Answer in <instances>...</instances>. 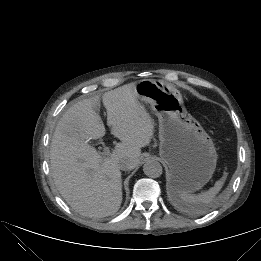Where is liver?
Segmentation results:
<instances>
[{
	"mask_svg": "<svg viewBox=\"0 0 261 261\" xmlns=\"http://www.w3.org/2000/svg\"><path fill=\"white\" fill-rule=\"evenodd\" d=\"M135 85H123L102 96L111 133L121 141L109 157L102 158L88 143L105 135V126L96 112L98 96L71 106L56 126L50 148L51 174L59 193L81 215L100 218L119 210V162L128 160L135 168L141 148L153 137L154 120L139 102Z\"/></svg>",
	"mask_w": 261,
	"mask_h": 261,
	"instance_id": "1",
	"label": "liver"
}]
</instances>
